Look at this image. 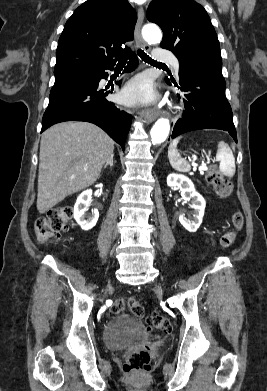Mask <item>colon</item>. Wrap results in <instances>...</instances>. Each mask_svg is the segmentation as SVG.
I'll list each match as a JSON object with an SVG mask.
<instances>
[{"mask_svg":"<svg viewBox=\"0 0 267 391\" xmlns=\"http://www.w3.org/2000/svg\"><path fill=\"white\" fill-rule=\"evenodd\" d=\"M207 181L211 184L220 197L227 198L233 192L232 184L226 180L212 166L207 173ZM73 210L70 206H58L52 208L45 216L39 217L34 225V231L38 242L48 243L59 238L62 232H67L71 228ZM233 224L236 230L243 226V215L236 212L233 215ZM236 238V232L226 233L221 238V245L224 248L230 247ZM128 309L135 316L142 318L148 330H159L167 333L171 330V323L168 317L152 313L145 314L144 308L135 298H121L114 302L113 312H121ZM150 365V354L146 350H134L130 352L124 363V371L131 375H142L148 371Z\"/></svg>","mask_w":267,"mask_h":391,"instance_id":"5ec220e1","label":"colon"}]
</instances>
